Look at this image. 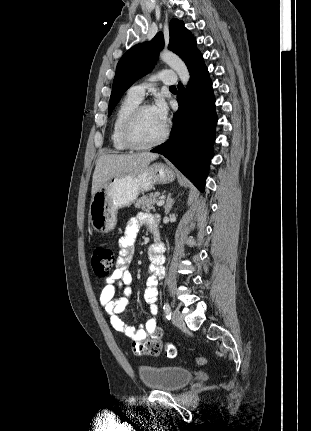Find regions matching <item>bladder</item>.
I'll use <instances>...</instances> for the list:
<instances>
[{"instance_id": "obj_1", "label": "bladder", "mask_w": 311, "mask_h": 431, "mask_svg": "<svg viewBox=\"0 0 311 431\" xmlns=\"http://www.w3.org/2000/svg\"><path fill=\"white\" fill-rule=\"evenodd\" d=\"M138 375L145 387L166 392L180 390L192 379L190 370L173 365H141L138 367Z\"/></svg>"}]
</instances>
